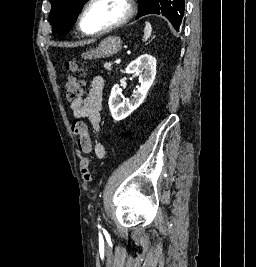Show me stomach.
Listing matches in <instances>:
<instances>
[{"label":"stomach","mask_w":256,"mask_h":267,"mask_svg":"<svg viewBox=\"0 0 256 267\" xmlns=\"http://www.w3.org/2000/svg\"><path fill=\"white\" fill-rule=\"evenodd\" d=\"M122 44L123 42L119 36H108V38H105V40L100 42L98 48L86 52V54H83L82 58H85V60L109 58V56H113V54H117V52L121 50Z\"/></svg>","instance_id":"stomach-1"}]
</instances>
